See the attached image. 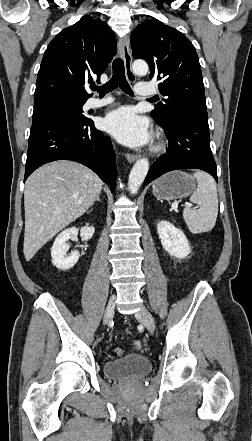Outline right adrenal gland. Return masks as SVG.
<instances>
[{
  "label": "right adrenal gland",
  "instance_id": "2a0ac1e0",
  "mask_svg": "<svg viewBox=\"0 0 252 441\" xmlns=\"http://www.w3.org/2000/svg\"><path fill=\"white\" fill-rule=\"evenodd\" d=\"M95 201H101L100 197L97 196V198L95 199Z\"/></svg>",
  "mask_w": 252,
  "mask_h": 441
}]
</instances>
